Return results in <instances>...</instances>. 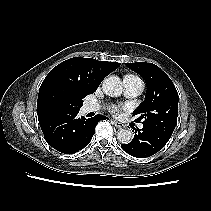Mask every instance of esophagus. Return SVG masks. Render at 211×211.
<instances>
[{
  "label": "esophagus",
  "mask_w": 211,
  "mask_h": 211,
  "mask_svg": "<svg viewBox=\"0 0 211 211\" xmlns=\"http://www.w3.org/2000/svg\"><path fill=\"white\" fill-rule=\"evenodd\" d=\"M112 123L117 127V128H123L124 125L119 122V121H116V120H112Z\"/></svg>",
  "instance_id": "34e87169"
}]
</instances>
